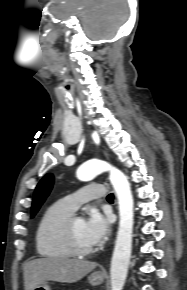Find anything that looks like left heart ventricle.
Listing matches in <instances>:
<instances>
[{
	"mask_svg": "<svg viewBox=\"0 0 187 290\" xmlns=\"http://www.w3.org/2000/svg\"><path fill=\"white\" fill-rule=\"evenodd\" d=\"M74 232L76 238L80 245L83 247H94V244L90 241L87 236L86 228H85V220L81 217H77L74 220Z\"/></svg>",
	"mask_w": 187,
	"mask_h": 290,
	"instance_id": "left-heart-ventricle-1",
	"label": "left heart ventricle"
}]
</instances>
